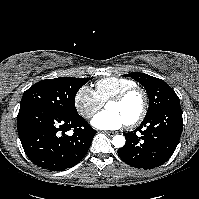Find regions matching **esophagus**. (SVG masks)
Here are the masks:
<instances>
[{
	"label": "esophagus",
	"instance_id": "esophagus-1",
	"mask_svg": "<svg viewBox=\"0 0 199 199\" xmlns=\"http://www.w3.org/2000/svg\"><path fill=\"white\" fill-rule=\"evenodd\" d=\"M105 134L110 136V137H113L116 133L112 132V131H105Z\"/></svg>",
	"mask_w": 199,
	"mask_h": 199
}]
</instances>
